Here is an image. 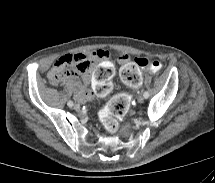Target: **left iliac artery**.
I'll list each match as a JSON object with an SVG mask.
<instances>
[{"label": "left iliac artery", "instance_id": "44dca946", "mask_svg": "<svg viewBox=\"0 0 215 183\" xmlns=\"http://www.w3.org/2000/svg\"><path fill=\"white\" fill-rule=\"evenodd\" d=\"M143 96L147 99L149 97V93L147 91H145Z\"/></svg>", "mask_w": 215, "mask_h": 183}]
</instances>
